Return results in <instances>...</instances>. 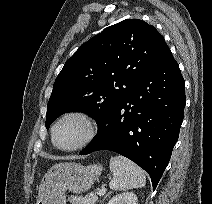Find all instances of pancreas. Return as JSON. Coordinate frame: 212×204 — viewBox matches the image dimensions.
<instances>
[{"label": "pancreas", "mask_w": 212, "mask_h": 204, "mask_svg": "<svg viewBox=\"0 0 212 204\" xmlns=\"http://www.w3.org/2000/svg\"><path fill=\"white\" fill-rule=\"evenodd\" d=\"M98 192H92L85 196L71 195L68 200L71 204H95L98 200Z\"/></svg>", "instance_id": "cf45deb5"}]
</instances>
